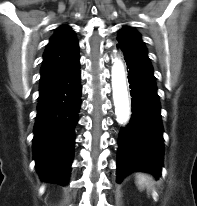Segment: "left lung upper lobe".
I'll return each mask as SVG.
<instances>
[{"label": "left lung upper lobe", "instance_id": "1", "mask_svg": "<svg viewBox=\"0 0 197 206\" xmlns=\"http://www.w3.org/2000/svg\"><path fill=\"white\" fill-rule=\"evenodd\" d=\"M118 46L126 53L134 57L147 69L153 72L147 49L141 40V35L133 27H123L119 30Z\"/></svg>", "mask_w": 197, "mask_h": 206}]
</instances>
